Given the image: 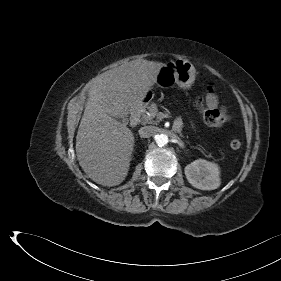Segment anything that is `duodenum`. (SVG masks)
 Returning a JSON list of instances; mask_svg holds the SVG:
<instances>
[{
  "label": "duodenum",
  "instance_id": "1",
  "mask_svg": "<svg viewBox=\"0 0 281 281\" xmlns=\"http://www.w3.org/2000/svg\"><path fill=\"white\" fill-rule=\"evenodd\" d=\"M139 121V113L137 110H132L129 117V122L131 126H135L138 124ZM182 127V123L177 121L174 126V131H179Z\"/></svg>",
  "mask_w": 281,
  "mask_h": 281
}]
</instances>
